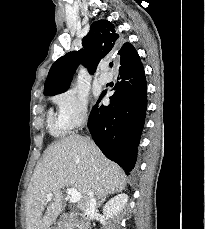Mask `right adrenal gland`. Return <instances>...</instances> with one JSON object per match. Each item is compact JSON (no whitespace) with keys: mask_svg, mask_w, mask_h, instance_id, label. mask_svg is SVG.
I'll use <instances>...</instances> for the list:
<instances>
[{"mask_svg":"<svg viewBox=\"0 0 205 229\" xmlns=\"http://www.w3.org/2000/svg\"><path fill=\"white\" fill-rule=\"evenodd\" d=\"M105 199H106V195L103 196V197L98 201L97 206H100V205L105 201Z\"/></svg>","mask_w":205,"mask_h":229,"instance_id":"obj_1","label":"right adrenal gland"}]
</instances>
